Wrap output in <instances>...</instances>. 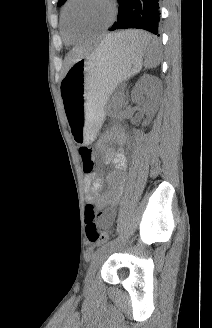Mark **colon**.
Returning <instances> with one entry per match:
<instances>
[{
    "mask_svg": "<svg viewBox=\"0 0 212 328\" xmlns=\"http://www.w3.org/2000/svg\"><path fill=\"white\" fill-rule=\"evenodd\" d=\"M79 155L83 164V171L90 173L94 169L93 152L90 147L82 146L79 148ZM100 211L94 204H88L85 210L86 236L91 243H103L106 236L98 224Z\"/></svg>",
    "mask_w": 212,
    "mask_h": 328,
    "instance_id": "colon-1",
    "label": "colon"
}]
</instances>
